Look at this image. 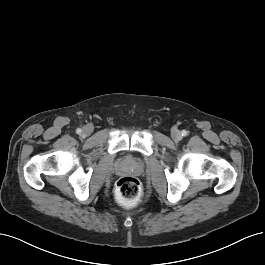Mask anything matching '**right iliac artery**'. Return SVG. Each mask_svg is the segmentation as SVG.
<instances>
[{"label":"right iliac artery","instance_id":"obj_1","mask_svg":"<svg viewBox=\"0 0 265 265\" xmlns=\"http://www.w3.org/2000/svg\"><path fill=\"white\" fill-rule=\"evenodd\" d=\"M76 133H77V134H80V133H81V129L78 128V129L76 130Z\"/></svg>","mask_w":265,"mask_h":265}]
</instances>
